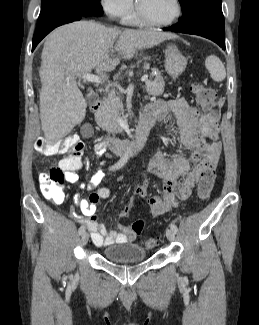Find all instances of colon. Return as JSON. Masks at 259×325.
<instances>
[{"label":"colon","mask_w":259,"mask_h":325,"mask_svg":"<svg viewBox=\"0 0 259 325\" xmlns=\"http://www.w3.org/2000/svg\"><path fill=\"white\" fill-rule=\"evenodd\" d=\"M197 103L208 114L210 122L208 123L209 129L217 128V107L218 101L216 93L210 87L196 82L191 87ZM36 150L45 155H54L57 153H68L69 157L64 165L54 167L49 171L43 172L39 175V187L42 195L55 203H61L64 198L63 184L65 180V167H73L75 160L80 157L83 149V144L78 136L68 135L65 138L49 143L43 138L37 139L35 143ZM215 171L209 170L202 174L198 184V197L202 201H206L212 191L215 181ZM132 209V202L127 203L123 210L122 216L129 215ZM136 234H141L144 229V222L140 219L135 220L131 226ZM142 243L146 248H153L156 245V239L150 236H144Z\"/></svg>","instance_id":"1"}]
</instances>
